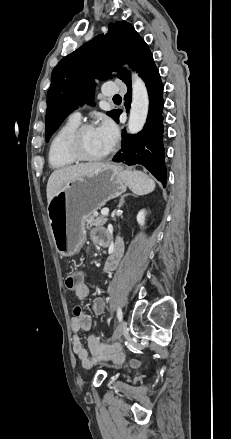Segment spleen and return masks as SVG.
Instances as JSON below:
<instances>
[{"mask_svg": "<svg viewBox=\"0 0 231 439\" xmlns=\"http://www.w3.org/2000/svg\"><path fill=\"white\" fill-rule=\"evenodd\" d=\"M127 186L137 195H145L155 189L154 181L141 171H124Z\"/></svg>", "mask_w": 231, "mask_h": 439, "instance_id": "obj_1", "label": "spleen"}]
</instances>
